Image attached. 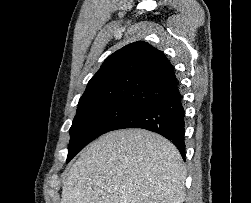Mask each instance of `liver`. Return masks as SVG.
I'll use <instances>...</instances> for the list:
<instances>
[{
  "mask_svg": "<svg viewBox=\"0 0 251 203\" xmlns=\"http://www.w3.org/2000/svg\"><path fill=\"white\" fill-rule=\"evenodd\" d=\"M186 174L164 137L116 130L91 143L64 172L61 203H182Z\"/></svg>",
  "mask_w": 251,
  "mask_h": 203,
  "instance_id": "obj_1",
  "label": "liver"
}]
</instances>
